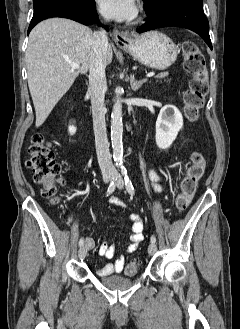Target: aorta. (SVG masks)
Listing matches in <instances>:
<instances>
[{
    "label": "aorta",
    "instance_id": "obj_1",
    "mask_svg": "<svg viewBox=\"0 0 240 329\" xmlns=\"http://www.w3.org/2000/svg\"><path fill=\"white\" fill-rule=\"evenodd\" d=\"M117 100L113 106L111 114V143L113 149V158L116 164H122L123 157V123H122V104L119 96L122 94L120 87L115 90Z\"/></svg>",
    "mask_w": 240,
    "mask_h": 329
}]
</instances>
